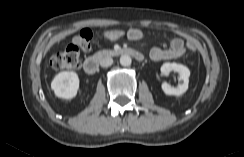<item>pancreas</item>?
<instances>
[{"mask_svg":"<svg viewBox=\"0 0 244 157\" xmlns=\"http://www.w3.org/2000/svg\"><path fill=\"white\" fill-rule=\"evenodd\" d=\"M113 54V51L111 50H102V51H98L97 53H95V56L98 58H102L106 55H111Z\"/></svg>","mask_w":244,"mask_h":157,"instance_id":"pancreas-1","label":"pancreas"}]
</instances>
